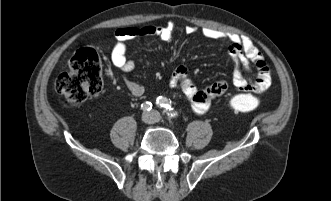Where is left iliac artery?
<instances>
[{
	"mask_svg": "<svg viewBox=\"0 0 331 201\" xmlns=\"http://www.w3.org/2000/svg\"><path fill=\"white\" fill-rule=\"evenodd\" d=\"M156 104L161 108H163L165 112H168V115H171V117L175 115L174 113L170 112L171 110H173V108H171V101L169 102V100L166 97H162V96L158 97Z\"/></svg>",
	"mask_w": 331,
	"mask_h": 201,
	"instance_id": "44dca946",
	"label": "left iliac artery"
}]
</instances>
